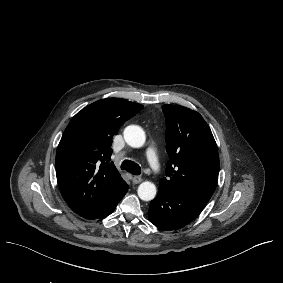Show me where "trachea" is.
Instances as JSON below:
<instances>
[{
  "label": "trachea",
  "mask_w": 283,
  "mask_h": 283,
  "mask_svg": "<svg viewBox=\"0 0 283 283\" xmlns=\"http://www.w3.org/2000/svg\"><path fill=\"white\" fill-rule=\"evenodd\" d=\"M121 169L126 170L127 172L133 175L141 174V167L137 163L130 161V160L123 161L121 165Z\"/></svg>",
  "instance_id": "trachea-1"
}]
</instances>
